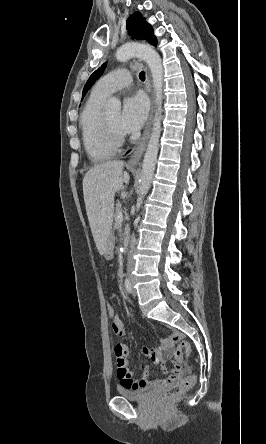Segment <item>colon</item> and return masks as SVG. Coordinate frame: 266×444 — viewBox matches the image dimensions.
<instances>
[{"instance_id":"colon-1","label":"colon","mask_w":266,"mask_h":444,"mask_svg":"<svg viewBox=\"0 0 266 444\" xmlns=\"http://www.w3.org/2000/svg\"><path fill=\"white\" fill-rule=\"evenodd\" d=\"M106 312L108 317L112 320L118 314L111 303H107ZM191 353L190 344L187 341H179L174 351V363L180 362L184 357H188ZM195 383V376L190 375L181 378L172 383L166 390L163 391L160 397L161 403H167L172 398L178 396L183 391L191 388Z\"/></svg>"}]
</instances>
